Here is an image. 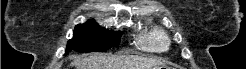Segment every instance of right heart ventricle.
Masks as SVG:
<instances>
[{
  "label": "right heart ventricle",
  "mask_w": 246,
  "mask_h": 69,
  "mask_svg": "<svg viewBox=\"0 0 246 69\" xmlns=\"http://www.w3.org/2000/svg\"><path fill=\"white\" fill-rule=\"evenodd\" d=\"M167 40L163 30L154 28L148 34L139 35L136 38V46L145 52H162L167 48Z\"/></svg>",
  "instance_id": "right-heart-ventricle-1"
}]
</instances>
